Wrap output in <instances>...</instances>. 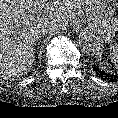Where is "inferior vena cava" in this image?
<instances>
[{
	"label": "inferior vena cava",
	"mask_w": 118,
	"mask_h": 118,
	"mask_svg": "<svg viewBox=\"0 0 118 118\" xmlns=\"http://www.w3.org/2000/svg\"><path fill=\"white\" fill-rule=\"evenodd\" d=\"M41 33L44 35L46 33H58L59 30L62 28V25L51 21V20H44L40 23Z\"/></svg>",
	"instance_id": "inferior-vena-cava-1"
}]
</instances>
